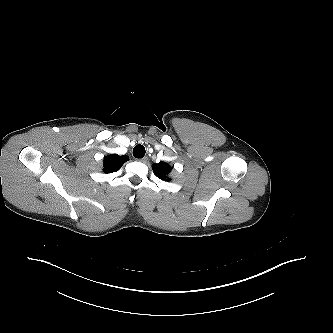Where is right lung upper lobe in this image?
Returning a JSON list of instances; mask_svg holds the SVG:
<instances>
[{
	"label": "right lung upper lobe",
	"mask_w": 333,
	"mask_h": 333,
	"mask_svg": "<svg viewBox=\"0 0 333 333\" xmlns=\"http://www.w3.org/2000/svg\"><path fill=\"white\" fill-rule=\"evenodd\" d=\"M128 160H129V157L127 155L119 156L117 154H110V155L104 157L103 172L104 173L116 172Z\"/></svg>",
	"instance_id": "cb5924a9"
}]
</instances>
